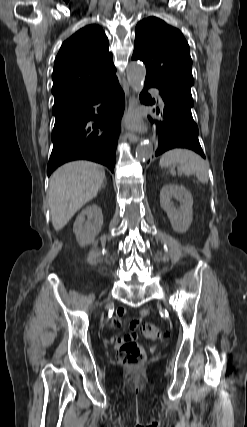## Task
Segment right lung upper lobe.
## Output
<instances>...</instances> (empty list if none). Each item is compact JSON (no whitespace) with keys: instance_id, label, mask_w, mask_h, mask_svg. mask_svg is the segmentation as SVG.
<instances>
[{"instance_id":"1","label":"right lung upper lobe","mask_w":247,"mask_h":427,"mask_svg":"<svg viewBox=\"0 0 247 427\" xmlns=\"http://www.w3.org/2000/svg\"><path fill=\"white\" fill-rule=\"evenodd\" d=\"M109 41L102 28L88 25L61 46L54 63V104L93 94L117 80Z\"/></svg>"}]
</instances>
